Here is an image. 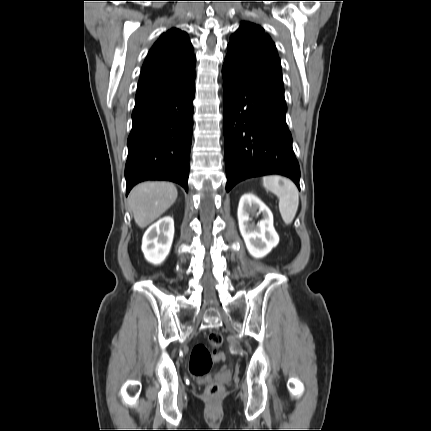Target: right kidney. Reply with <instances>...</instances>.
I'll return each instance as SVG.
<instances>
[{"mask_svg":"<svg viewBox=\"0 0 431 431\" xmlns=\"http://www.w3.org/2000/svg\"><path fill=\"white\" fill-rule=\"evenodd\" d=\"M174 237V221L166 216L151 225L142 239V252L145 259L154 264H161L168 256Z\"/></svg>","mask_w":431,"mask_h":431,"instance_id":"1","label":"right kidney"}]
</instances>
